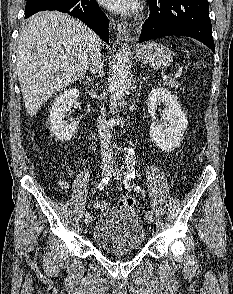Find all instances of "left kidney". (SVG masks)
<instances>
[{
    "label": "left kidney",
    "instance_id": "5707ae66",
    "mask_svg": "<svg viewBox=\"0 0 233 294\" xmlns=\"http://www.w3.org/2000/svg\"><path fill=\"white\" fill-rule=\"evenodd\" d=\"M161 103L165 109L161 114L163 122L158 124L154 120L157 105ZM147 109L152 117L150 137L156 146L166 152L179 147L188 121L175 96L166 88H153L148 95Z\"/></svg>",
    "mask_w": 233,
    "mask_h": 294
}]
</instances>
